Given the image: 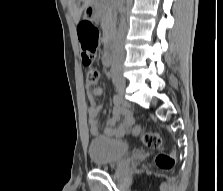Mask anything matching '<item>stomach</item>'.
Wrapping results in <instances>:
<instances>
[{
    "label": "stomach",
    "mask_w": 223,
    "mask_h": 191,
    "mask_svg": "<svg viewBox=\"0 0 223 191\" xmlns=\"http://www.w3.org/2000/svg\"><path fill=\"white\" fill-rule=\"evenodd\" d=\"M84 18H86V19H92V15H90L87 12H85Z\"/></svg>",
    "instance_id": "obj_1"
}]
</instances>
